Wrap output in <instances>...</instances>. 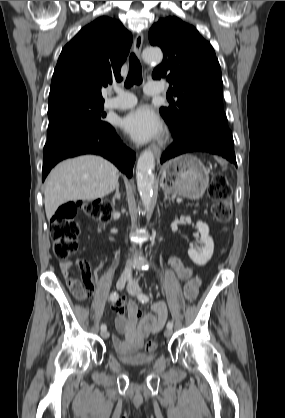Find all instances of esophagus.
Here are the masks:
<instances>
[{
    "label": "esophagus",
    "mask_w": 285,
    "mask_h": 418,
    "mask_svg": "<svg viewBox=\"0 0 285 418\" xmlns=\"http://www.w3.org/2000/svg\"><path fill=\"white\" fill-rule=\"evenodd\" d=\"M142 45H143V34L138 33L134 39V45H133V50L137 57H140ZM153 151H154L156 159L158 160L161 156V149L158 146L154 145Z\"/></svg>",
    "instance_id": "obj_1"
}]
</instances>
